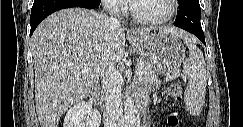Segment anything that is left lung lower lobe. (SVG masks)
Wrapping results in <instances>:
<instances>
[{
    "label": "left lung lower lobe",
    "instance_id": "obj_1",
    "mask_svg": "<svg viewBox=\"0 0 243 127\" xmlns=\"http://www.w3.org/2000/svg\"><path fill=\"white\" fill-rule=\"evenodd\" d=\"M180 4L175 26L193 33L204 45H206L204 33L201 27V10L199 0H184Z\"/></svg>",
    "mask_w": 243,
    "mask_h": 127
}]
</instances>
